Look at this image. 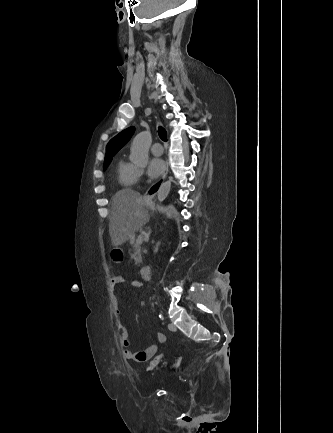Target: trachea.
Wrapping results in <instances>:
<instances>
[{
    "mask_svg": "<svg viewBox=\"0 0 333 433\" xmlns=\"http://www.w3.org/2000/svg\"><path fill=\"white\" fill-rule=\"evenodd\" d=\"M158 134H159V137H160L164 142L167 141V132H166V130H165L162 126H159V128H158Z\"/></svg>",
    "mask_w": 333,
    "mask_h": 433,
    "instance_id": "obj_1",
    "label": "trachea"
}]
</instances>
